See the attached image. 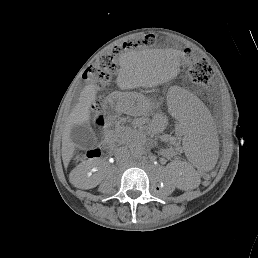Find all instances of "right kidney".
Wrapping results in <instances>:
<instances>
[{
    "label": "right kidney",
    "instance_id": "right-kidney-1",
    "mask_svg": "<svg viewBox=\"0 0 258 258\" xmlns=\"http://www.w3.org/2000/svg\"><path fill=\"white\" fill-rule=\"evenodd\" d=\"M91 175V171H82V170H75L74 171V178L78 181H83L86 178H89ZM99 182L95 181L89 188L95 187Z\"/></svg>",
    "mask_w": 258,
    "mask_h": 258
}]
</instances>
